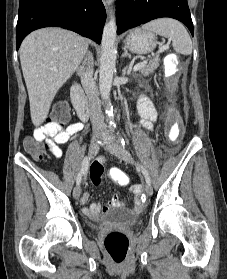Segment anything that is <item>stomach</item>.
<instances>
[{"label":"stomach","mask_w":227,"mask_h":279,"mask_svg":"<svg viewBox=\"0 0 227 279\" xmlns=\"http://www.w3.org/2000/svg\"><path fill=\"white\" fill-rule=\"evenodd\" d=\"M125 46L135 54H147L156 47L155 35L152 32L136 29L124 40Z\"/></svg>","instance_id":"1"}]
</instances>
